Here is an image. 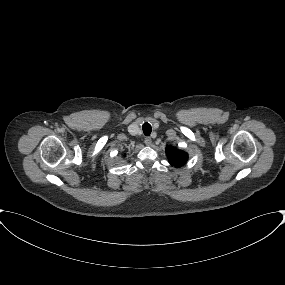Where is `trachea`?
<instances>
[{"instance_id": "1", "label": "trachea", "mask_w": 285, "mask_h": 285, "mask_svg": "<svg viewBox=\"0 0 285 285\" xmlns=\"http://www.w3.org/2000/svg\"><path fill=\"white\" fill-rule=\"evenodd\" d=\"M142 129H143L144 135L149 136L151 134L152 127L148 122H145L143 124Z\"/></svg>"}]
</instances>
